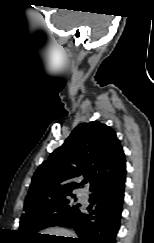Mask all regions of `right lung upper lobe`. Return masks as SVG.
Wrapping results in <instances>:
<instances>
[{
    "label": "right lung upper lobe",
    "mask_w": 154,
    "mask_h": 243,
    "mask_svg": "<svg viewBox=\"0 0 154 243\" xmlns=\"http://www.w3.org/2000/svg\"><path fill=\"white\" fill-rule=\"evenodd\" d=\"M124 165V153L115 131L97 121L82 123L38 167L25 199V208L72 195L80 186L74 179L81 175L90 180L91 189ZM84 181L81 184H85Z\"/></svg>",
    "instance_id": "cb5924a9"
}]
</instances>
